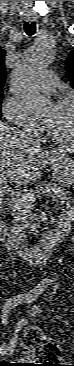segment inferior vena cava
Returning a JSON list of instances; mask_svg holds the SVG:
<instances>
[{
	"mask_svg": "<svg viewBox=\"0 0 74 366\" xmlns=\"http://www.w3.org/2000/svg\"><path fill=\"white\" fill-rule=\"evenodd\" d=\"M32 136L34 137L35 142H37L39 144V139L36 138L34 135H32Z\"/></svg>",
	"mask_w": 74,
	"mask_h": 366,
	"instance_id": "602c4592",
	"label": "inferior vena cava"
}]
</instances>
